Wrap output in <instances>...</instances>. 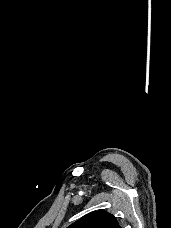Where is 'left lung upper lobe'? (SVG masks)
Returning a JSON list of instances; mask_svg holds the SVG:
<instances>
[{"mask_svg": "<svg viewBox=\"0 0 171 228\" xmlns=\"http://www.w3.org/2000/svg\"><path fill=\"white\" fill-rule=\"evenodd\" d=\"M68 228H121L117 219L106 211H95L77 220Z\"/></svg>", "mask_w": 171, "mask_h": 228, "instance_id": "1", "label": "left lung upper lobe"}]
</instances>
